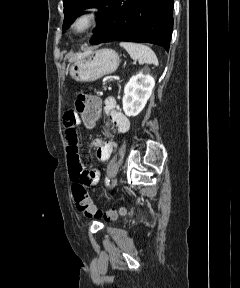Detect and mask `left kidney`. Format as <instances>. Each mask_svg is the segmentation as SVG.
<instances>
[{"instance_id": "left-kidney-1", "label": "left kidney", "mask_w": 240, "mask_h": 288, "mask_svg": "<svg viewBox=\"0 0 240 288\" xmlns=\"http://www.w3.org/2000/svg\"><path fill=\"white\" fill-rule=\"evenodd\" d=\"M155 86L154 78L147 69L132 76L124 88L122 99L123 110L126 116H137L145 107Z\"/></svg>"}]
</instances>
